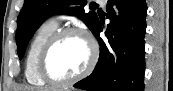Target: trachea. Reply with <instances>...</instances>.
Listing matches in <instances>:
<instances>
[{
	"label": "trachea",
	"instance_id": "1",
	"mask_svg": "<svg viewBox=\"0 0 173 91\" xmlns=\"http://www.w3.org/2000/svg\"><path fill=\"white\" fill-rule=\"evenodd\" d=\"M91 7H98V5L96 3H92Z\"/></svg>",
	"mask_w": 173,
	"mask_h": 91
}]
</instances>
